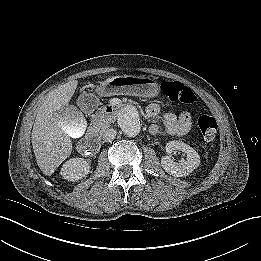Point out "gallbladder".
<instances>
[{"label":"gallbladder","instance_id":"obj_1","mask_svg":"<svg viewBox=\"0 0 261 261\" xmlns=\"http://www.w3.org/2000/svg\"><path fill=\"white\" fill-rule=\"evenodd\" d=\"M59 120L67 135L73 139L82 137L86 132L87 121L74 105L64 106L59 112Z\"/></svg>","mask_w":261,"mask_h":261}]
</instances>
